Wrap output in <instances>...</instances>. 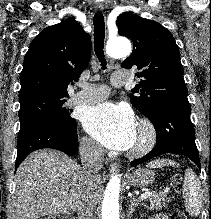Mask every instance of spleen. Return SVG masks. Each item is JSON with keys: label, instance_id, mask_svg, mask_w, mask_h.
Returning <instances> with one entry per match:
<instances>
[{"label": "spleen", "instance_id": "obj_1", "mask_svg": "<svg viewBox=\"0 0 211 219\" xmlns=\"http://www.w3.org/2000/svg\"><path fill=\"white\" fill-rule=\"evenodd\" d=\"M178 166L179 164L167 159L154 160L148 163V167L157 168L162 166ZM183 194L186 200V211L192 217L199 216L203 202L201 184L195 172L191 169L185 171Z\"/></svg>", "mask_w": 211, "mask_h": 219}]
</instances>
